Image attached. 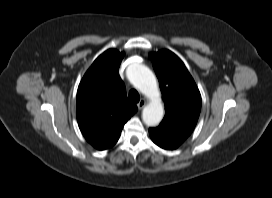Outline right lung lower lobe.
Listing matches in <instances>:
<instances>
[{
    "label": "right lung lower lobe",
    "mask_w": 272,
    "mask_h": 198,
    "mask_svg": "<svg viewBox=\"0 0 272 198\" xmlns=\"http://www.w3.org/2000/svg\"><path fill=\"white\" fill-rule=\"evenodd\" d=\"M118 139H119V138H118ZM118 139H117V140H118ZM117 140L114 142V144L117 142ZM114 144H113V145H114ZM113 145H112V146H113ZM112 146H111V147H112ZM109 148H110V147H109Z\"/></svg>",
    "instance_id": "right-lung-lower-lobe-1"
}]
</instances>
